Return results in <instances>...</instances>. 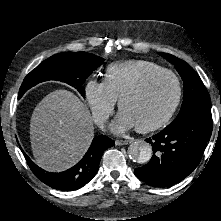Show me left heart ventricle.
Returning <instances> with one entry per match:
<instances>
[{
  "instance_id": "1",
  "label": "left heart ventricle",
  "mask_w": 221,
  "mask_h": 221,
  "mask_svg": "<svg viewBox=\"0 0 221 221\" xmlns=\"http://www.w3.org/2000/svg\"><path fill=\"white\" fill-rule=\"evenodd\" d=\"M176 85L169 76L153 79L141 92L126 98L121 106L136 127L148 126L161 120L171 108Z\"/></svg>"
}]
</instances>
